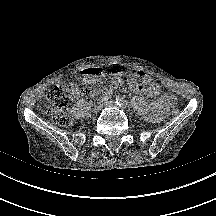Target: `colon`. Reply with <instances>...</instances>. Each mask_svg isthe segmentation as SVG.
Segmentation results:
<instances>
[{"label":"colon","mask_w":216,"mask_h":216,"mask_svg":"<svg viewBox=\"0 0 216 216\" xmlns=\"http://www.w3.org/2000/svg\"><path fill=\"white\" fill-rule=\"evenodd\" d=\"M79 88L75 84H57L53 86L47 94L48 103L45 112L51 117L52 121L61 127L71 125L72 118L68 111V103L75 97ZM169 112L175 116L179 113L176 98L170 105Z\"/></svg>","instance_id":"1"}]
</instances>
